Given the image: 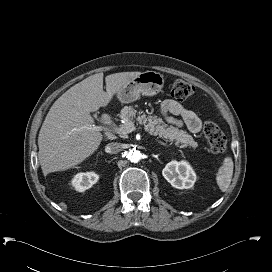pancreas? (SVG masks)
Segmentation results:
<instances>
[{
	"mask_svg": "<svg viewBox=\"0 0 272 272\" xmlns=\"http://www.w3.org/2000/svg\"><path fill=\"white\" fill-rule=\"evenodd\" d=\"M119 117L125 122L121 127L136 120L139 124L144 125L145 130L149 131L152 135L175 142V145H180V147L189 146L193 149L198 146L197 142L186 131L179 130L174 126H168L160 117L151 114H142V112L137 111L133 106L122 108Z\"/></svg>",
	"mask_w": 272,
	"mask_h": 272,
	"instance_id": "1",
	"label": "pancreas"
}]
</instances>
